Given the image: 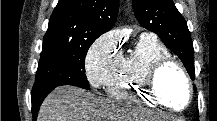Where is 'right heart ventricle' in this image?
<instances>
[{
  "mask_svg": "<svg viewBox=\"0 0 217 121\" xmlns=\"http://www.w3.org/2000/svg\"><path fill=\"white\" fill-rule=\"evenodd\" d=\"M168 57V50L154 37L141 36L134 50L120 58L105 84L107 94L117 101L154 104L146 93L145 77L155 62Z\"/></svg>",
  "mask_w": 217,
  "mask_h": 121,
  "instance_id": "obj_1",
  "label": "right heart ventricle"
}]
</instances>
